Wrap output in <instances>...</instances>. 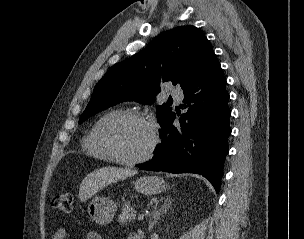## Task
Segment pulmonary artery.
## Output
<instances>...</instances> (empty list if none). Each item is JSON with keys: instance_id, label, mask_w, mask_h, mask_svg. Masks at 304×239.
<instances>
[{"instance_id": "pulmonary-artery-1", "label": "pulmonary artery", "mask_w": 304, "mask_h": 239, "mask_svg": "<svg viewBox=\"0 0 304 239\" xmlns=\"http://www.w3.org/2000/svg\"><path fill=\"white\" fill-rule=\"evenodd\" d=\"M171 95L173 98H175L178 101H180L183 98V92L180 89H173L171 91Z\"/></svg>"}]
</instances>
